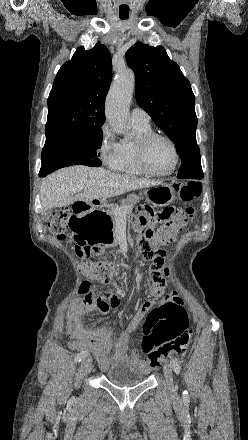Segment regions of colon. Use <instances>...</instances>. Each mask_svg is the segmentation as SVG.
<instances>
[{
  "label": "colon",
  "instance_id": "obj_1",
  "mask_svg": "<svg viewBox=\"0 0 248 440\" xmlns=\"http://www.w3.org/2000/svg\"><path fill=\"white\" fill-rule=\"evenodd\" d=\"M175 188L181 200L186 204L183 208L178 211L167 208L155 214L140 210L136 221L142 233L139 243L142 252L149 259L153 257L165 259L167 252L164 247L170 244L183 226L193 218L194 208L190 203L199 197L200 183L189 181L176 184ZM77 214V206L63 207L54 212L49 221V228L58 239L65 238L70 231V219L80 218ZM143 216L149 218L151 222L160 223L159 228L154 230L148 222L144 223ZM75 252L82 260L80 270L84 275L103 283H107L114 275V264L107 260L101 246H85L84 241H77ZM79 294L81 295L79 305L83 309L98 305L102 297L105 299L114 297L109 291L101 293L95 289L91 290L88 281L82 282ZM191 338L192 329L189 326L185 309L174 301L169 304L162 302L152 308L146 317L141 347L151 365L156 367L169 355L184 354Z\"/></svg>",
  "mask_w": 248,
  "mask_h": 440
}]
</instances>
